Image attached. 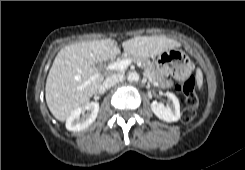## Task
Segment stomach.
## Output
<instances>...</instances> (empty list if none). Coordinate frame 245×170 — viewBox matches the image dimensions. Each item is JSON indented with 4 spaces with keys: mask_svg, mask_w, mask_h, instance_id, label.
I'll list each match as a JSON object with an SVG mask.
<instances>
[{
    "mask_svg": "<svg viewBox=\"0 0 245 170\" xmlns=\"http://www.w3.org/2000/svg\"><path fill=\"white\" fill-rule=\"evenodd\" d=\"M156 68L164 76H169L189 70L191 62L185 52L178 48H171L158 55Z\"/></svg>",
    "mask_w": 245,
    "mask_h": 170,
    "instance_id": "1",
    "label": "stomach"
}]
</instances>
